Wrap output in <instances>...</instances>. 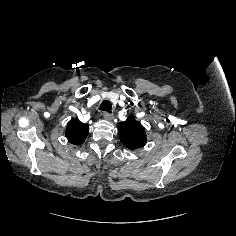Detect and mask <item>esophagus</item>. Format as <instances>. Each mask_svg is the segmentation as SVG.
<instances>
[{
  "label": "esophagus",
  "mask_w": 236,
  "mask_h": 236,
  "mask_svg": "<svg viewBox=\"0 0 236 236\" xmlns=\"http://www.w3.org/2000/svg\"><path fill=\"white\" fill-rule=\"evenodd\" d=\"M103 118H104L105 120L111 121L112 118H113V115H112L111 113L104 112V113H103Z\"/></svg>",
  "instance_id": "34e87169"
}]
</instances>
